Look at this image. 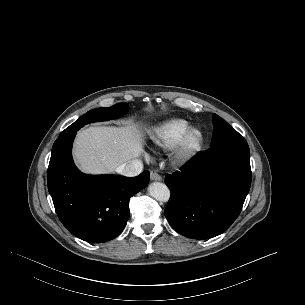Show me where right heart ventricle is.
<instances>
[{"mask_svg":"<svg viewBox=\"0 0 305 305\" xmlns=\"http://www.w3.org/2000/svg\"><path fill=\"white\" fill-rule=\"evenodd\" d=\"M189 127L188 121L174 118L156 127L151 133V139L161 148H171L178 144Z\"/></svg>","mask_w":305,"mask_h":305,"instance_id":"1","label":"right heart ventricle"}]
</instances>
